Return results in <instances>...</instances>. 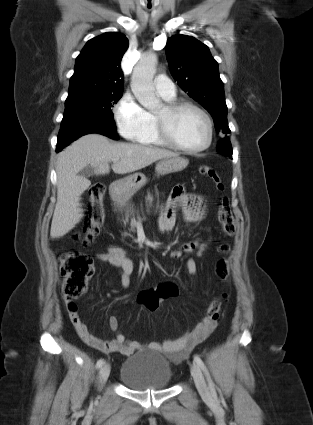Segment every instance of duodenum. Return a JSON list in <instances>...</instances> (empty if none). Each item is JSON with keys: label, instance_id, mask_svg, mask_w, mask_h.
I'll list each match as a JSON object with an SVG mask.
<instances>
[{"label": "duodenum", "instance_id": "duodenum-1", "mask_svg": "<svg viewBox=\"0 0 313 425\" xmlns=\"http://www.w3.org/2000/svg\"><path fill=\"white\" fill-rule=\"evenodd\" d=\"M119 186L117 183H113L110 188V192L113 196H115L118 192Z\"/></svg>", "mask_w": 313, "mask_h": 425}]
</instances>
